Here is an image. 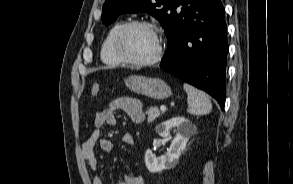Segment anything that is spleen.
I'll list each match as a JSON object with an SVG mask.
<instances>
[{
  "mask_svg": "<svg viewBox=\"0 0 293 184\" xmlns=\"http://www.w3.org/2000/svg\"><path fill=\"white\" fill-rule=\"evenodd\" d=\"M187 93L188 112L193 115H206L212 110V103L206 93L184 83Z\"/></svg>",
  "mask_w": 293,
  "mask_h": 184,
  "instance_id": "1",
  "label": "spleen"
}]
</instances>
